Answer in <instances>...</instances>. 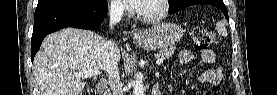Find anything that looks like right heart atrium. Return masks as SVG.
Returning a JSON list of instances; mask_svg holds the SVG:
<instances>
[{
	"instance_id": "d8ad5b80",
	"label": "right heart atrium",
	"mask_w": 277,
	"mask_h": 95,
	"mask_svg": "<svg viewBox=\"0 0 277 95\" xmlns=\"http://www.w3.org/2000/svg\"><path fill=\"white\" fill-rule=\"evenodd\" d=\"M111 10H112V15L115 17H120L124 12L123 7L115 1L111 3Z\"/></svg>"
}]
</instances>
